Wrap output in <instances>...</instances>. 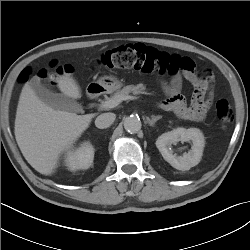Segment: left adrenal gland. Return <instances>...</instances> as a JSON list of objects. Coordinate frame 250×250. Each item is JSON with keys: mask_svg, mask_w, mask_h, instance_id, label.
I'll use <instances>...</instances> for the list:
<instances>
[{"mask_svg": "<svg viewBox=\"0 0 250 250\" xmlns=\"http://www.w3.org/2000/svg\"><path fill=\"white\" fill-rule=\"evenodd\" d=\"M161 118H162L161 115H158V116L152 115V116H151V119H150V118H147V122H148V124H149L150 126H154L155 123H156L159 119H161Z\"/></svg>", "mask_w": 250, "mask_h": 250, "instance_id": "a2214340", "label": "left adrenal gland"}]
</instances>
